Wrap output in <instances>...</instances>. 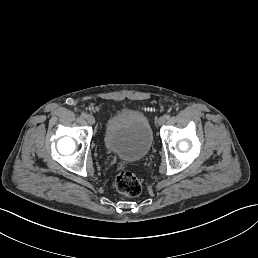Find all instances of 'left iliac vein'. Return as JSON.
I'll return each instance as SVG.
<instances>
[{
    "label": "left iliac vein",
    "instance_id": "4c4485c4",
    "mask_svg": "<svg viewBox=\"0 0 258 258\" xmlns=\"http://www.w3.org/2000/svg\"><path fill=\"white\" fill-rule=\"evenodd\" d=\"M166 122H167V119H166L164 116H161V117L158 119L157 127L160 128V123H166Z\"/></svg>",
    "mask_w": 258,
    "mask_h": 258
}]
</instances>
